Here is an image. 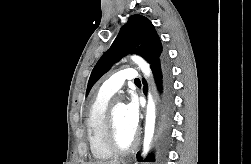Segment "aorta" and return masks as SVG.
<instances>
[{
    "label": "aorta",
    "mask_w": 251,
    "mask_h": 164,
    "mask_svg": "<svg viewBox=\"0 0 251 164\" xmlns=\"http://www.w3.org/2000/svg\"><path fill=\"white\" fill-rule=\"evenodd\" d=\"M131 59L135 63H137V65L141 69L144 76L146 78H149L151 75V69H150L149 64L139 56H132ZM155 120H156L155 103H154L152 95L149 93L147 107H146V122H145V135H144V143H143V155H146L149 150L150 143L154 135Z\"/></svg>",
    "instance_id": "obj_1"
}]
</instances>
